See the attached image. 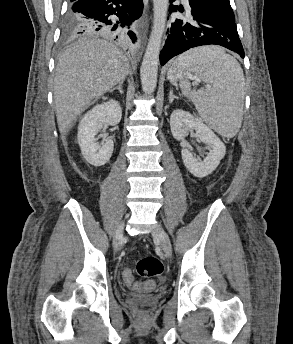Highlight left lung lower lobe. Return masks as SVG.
<instances>
[{
	"label": "left lung lower lobe",
	"instance_id": "left-lung-lower-lobe-1",
	"mask_svg": "<svg viewBox=\"0 0 293 344\" xmlns=\"http://www.w3.org/2000/svg\"><path fill=\"white\" fill-rule=\"evenodd\" d=\"M189 6L191 20L175 19L168 30L160 53L161 65L190 48L211 44L226 47L244 58L235 18L211 0H189ZM177 10L183 12V7L170 5V13Z\"/></svg>",
	"mask_w": 293,
	"mask_h": 344
}]
</instances>
